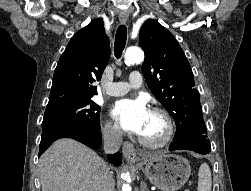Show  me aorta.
Returning <instances> with one entry per match:
<instances>
[{
    "instance_id": "762f6f07",
    "label": "aorta",
    "mask_w": 251,
    "mask_h": 191,
    "mask_svg": "<svg viewBox=\"0 0 251 191\" xmlns=\"http://www.w3.org/2000/svg\"><path fill=\"white\" fill-rule=\"evenodd\" d=\"M144 54L140 48H135V46H131V48H127L125 52V62L126 64H139V62H143ZM127 175V173H124ZM123 191H130V185H123Z\"/></svg>"
}]
</instances>
